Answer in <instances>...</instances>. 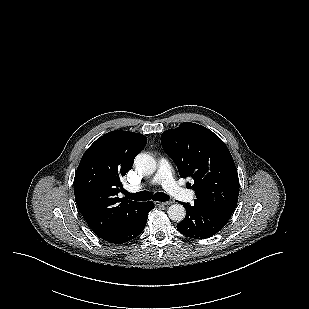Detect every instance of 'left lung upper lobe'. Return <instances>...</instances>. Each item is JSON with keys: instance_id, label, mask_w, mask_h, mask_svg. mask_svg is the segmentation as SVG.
<instances>
[{"instance_id": "left-lung-upper-lobe-1", "label": "left lung upper lobe", "mask_w": 309, "mask_h": 309, "mask_svg": "<svg viewBox=\"0 0 309 309\" xmlns=\"http://www.w3.org/2000/svg\"><path fill=\"white\" fill-rule=\"evenodd\" d=\"M161 143L180 176L194 179L195 201L233 213L239 195L238 173L227 146L215 133L185 122L163 132Z\"/></svg>"}]
</instances>
